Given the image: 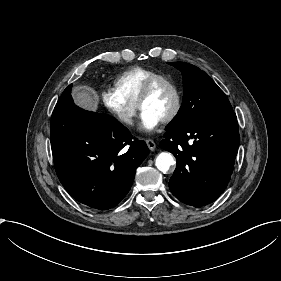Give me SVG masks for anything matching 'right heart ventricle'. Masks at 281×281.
Listing matches in <instances>:
<instances>
[{
	"instance_id": "right-heart-ventricle-1",
	"label": "right heart ventricle",
	"mask_w": 281,
	"mask_h": 281,
	"mask_svg": "<svg viewBox=\"0 0 281 281\" xmlns=\"http://www.w3.org/2000/svg\"><path fill=\"white\" fill-rule=\"evenodd\" d=\"M160 75L163 74L151 68L134 67L116 78L115 89L126 101L137 105L138 98L146 83L153 77Z\"/></svg>"
}]
</instances>
